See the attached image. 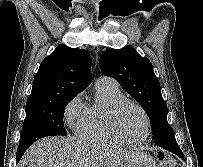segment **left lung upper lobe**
<instances>
[{"instance_id": "left-lung-upper-lobe-1", "label": "left lung upper lobe", "mask_w": 203, "mask_h": 167, "mask_svg": "<svg viewBox=\"0 0 203 167\" xmlns=\"http://www.w3.org/2000/svg\"><path fill=\"white\" fill-rule=\"evenodd\" d=\"M100 69L105 76L116 79L142 106L149 116L155 143L167 137L175 138L167 121V105L159 80L148 58L142 57L133 47L107 49L100 57Z\"/></svg>"}]
</instances>
